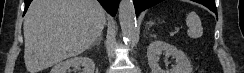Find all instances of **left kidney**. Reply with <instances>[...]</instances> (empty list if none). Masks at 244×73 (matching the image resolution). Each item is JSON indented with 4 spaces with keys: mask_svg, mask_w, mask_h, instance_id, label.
Here are the masks:
<instances>
[{
    "mask_svg": "<svg viewBox=\"0 0 244 73\" xmlns=\"http://www.w3.org/2000/svg\"><path fill=\"white\" fill-rule=\"evenodd\" d=\"M165 53L166 56L175 58V66L170 71H164L159 66V55ZM148 64L152 73H193V67L187 55L174 45L155 40L147 48Z\"/></svg>",
    "mask_w": 244,
    "mask_h": 73,
    "instance_id": "5707ae66",
    "label": "left kidney"
}]
</instances>
